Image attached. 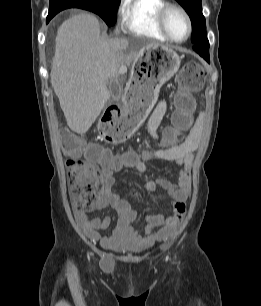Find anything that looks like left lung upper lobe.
Instances as JSON below:
<instances>
[{
    "mask_svg": "<svg viewBox=\"0 0 261 306\" xmlns=\"http://www.w3.org/2000/svg\"><path fill=\"white\" fill-rule=\"evenodd\" d=\"M188 13L192 22L191 42L193 49L209 62V42L206 35L205 18L201 0H176Z\"/></svg>",
    "mask_w": 261,
    "mask_h": 306,
    "instance_id": "5c2ea615",
    "label": "left lung upper lobe"
}]
</instances>
